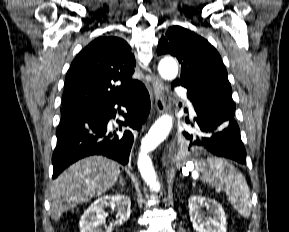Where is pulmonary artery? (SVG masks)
Here are the masks:
<instances>
[{"mask_svg": "<svg viewBox=\"0 0 289 232\" xmlns=\"http://www.w3.org/2000/svg\"><path fill=\"white\" fill-rule=\"evenodd\" d=\"M176 91L179 92V93H182V94L184 93V90L182 88H180V87L176 88ZM187 102H188V105L191 108V111L194 112L192 104L190 103V101H187Z\"/></svg>", "mask_w": 289, "mask_h": 232, "instance_id": "e3ab8cb5", "label": "pulmonary artery"}]
</instances>
